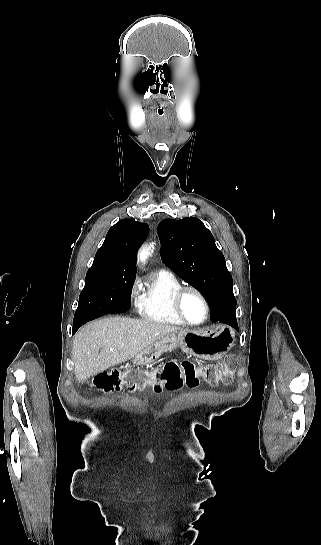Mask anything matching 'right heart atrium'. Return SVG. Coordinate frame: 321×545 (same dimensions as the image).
Returning <instances> with one entry per match:
<instances>
[{
	"label": "right heart atrium",
	"mask_w": 321,
	"mask_h": 545,
	"mask_svg": "<svg viewBox=\"0 0 321 545\" xmlns=\"http://www.w3.org/2000/svg\"><path fill=\"white\" fill-rule=\"evenodd\" d=\"M140 292L141 289L138 282L133 281L129 290V296L133 304H136L141 299Z\"/></svg>",
	"instance_id": "right-heart-atrium-1"
}]
</instances>
